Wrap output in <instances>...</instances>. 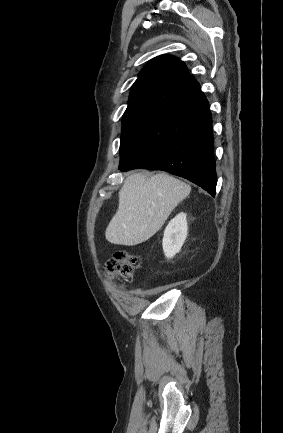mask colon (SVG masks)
<instances>
[{"label":"colon","mask_w":283,"mask_h":433,"mask_svg":"<svg viewBox=\"0 0 283 433\" xmlns=\"http://www.w3.org/2000/svg\"><path fill=\"white\" fill-rule=\"evenodd\" d=\"M140 265V259L125 251H118L114 257L107 262L106 268L112 277L130 278L135 269Z\"/></svg>","instance_id":"1"}]
</instances>
